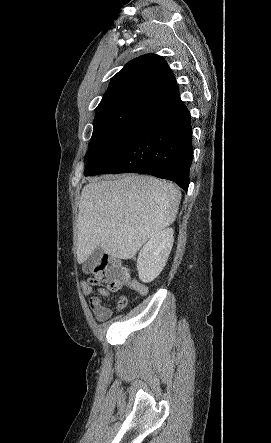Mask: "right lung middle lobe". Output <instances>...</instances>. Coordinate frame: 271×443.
Here are the masks:
<instances>
[{"mask_svg":"<svg viewBox=\"0 0 271 443\" xmlns=\"http://www.w3.org/2000/svg\"><path fill=\"white\" fill-rule=\"evenodd\" d=\"M152 105L142 100H123L97 107L85 176L108 162L128 131Z\"/></svg>","mask_w":271,"mask_h":443,"instance_id":"obj_1","label":"right lung middle lobe"}]
</instances>
